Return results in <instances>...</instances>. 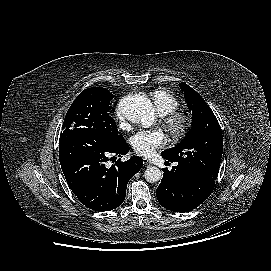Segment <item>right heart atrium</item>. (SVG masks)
I'll use <instances>...</instances> for the list:
<instances>
[{"label": "right heart atrium", "instance_id": "right-heart-atrium-1", "mask_svg": "<svg viewBox=\"0 0 271 271\" xmlns=\"http://www.w3.org/2000/svg\"><path fill=\"white\" fill-rule=\"evenodd\" d=\"M116 113H117V116L119 119L122 120L124 118V113L121 111V109L119 107L117 108Z\"/></svg>", "mask_w": 271, "mask_h": 271}]
</instances>
